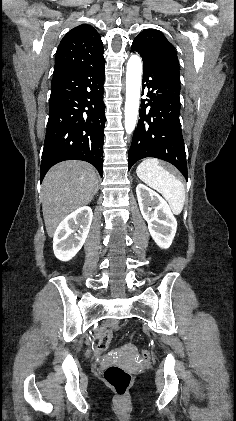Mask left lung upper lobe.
Returning a JSON list of instances; mask_svg holds the SVG:
<instances>
[{"mask_svg":"<svg viewBox=\"0 0 236 421\" xmlns=\"http://www.w3.org/2000/svg\"><path fill=\"white\" fill-rule=\"evenodd\" d=\"M132 50L153 64L171 69L179 74V61L173 45L156 29L142 31L133 41Z\"/></svg>","mask_w":236,"mask_h":421,"instance_id":"5c2ea615","label":"left lung upper lobe"}]
</instances>
